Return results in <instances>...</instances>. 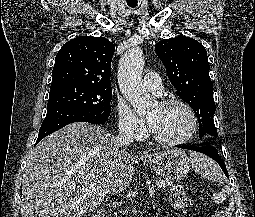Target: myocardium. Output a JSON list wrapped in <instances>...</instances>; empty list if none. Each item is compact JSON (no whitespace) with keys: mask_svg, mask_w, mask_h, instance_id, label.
Instances as JSON below:
<instances>
[{"mask_svg":"<svg viewBox=\"0 0 255 217\" xmlns=\"http://www.w3.org/2000/svg\"><path fill=\"white\" fill-rule=\"evenodd\" d=\"M159 105L161 107H168L171 105H180L182 106L189 114L190 119H191V126L190 129L188 131V133L186 135H184L181 138L178 139H164L160 136H158L157 134L154 133V131L151 129V134L153 139L161 144V145H165V146H177V145H181L184 144L188 141H190L194 135L197 132L198 129V117L197 114L195 112V110L193 109V107L185 100L181 99V98H167L162 100Z\"/></svg>","mask_w":255,"mask_h":217,"instance_id":"obj_1","label":"myocardium"}]
</instances>
